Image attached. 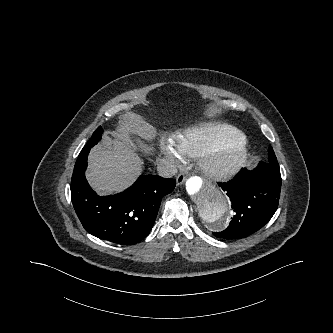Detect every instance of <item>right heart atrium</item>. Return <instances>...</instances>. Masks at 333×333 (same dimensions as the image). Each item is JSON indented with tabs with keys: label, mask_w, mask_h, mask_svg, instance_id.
I'll return each mask as SVG.
<instances>
[{
	"label": "right heart atrium",
	"mask_w": 333,
	"mask_h": 333,
	"mask_svg": "<svg viewBox=\"0 0 333 333\" xmlns=\"http://www.w3.org/2000/svg\"><path fill=\"white\" fill-rule=\"evenodd\" d=\"M160 154L167 160L180 166L184 161V156L181 154L174 142L162 139L159 141Z\"/></svg>",
	"instance_id": "right-heart-atrium-1"
}]
</instances>
